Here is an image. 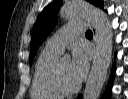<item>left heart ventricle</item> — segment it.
<instances>
[{"label":"left heart ventricle","mask_w":128,"mask_h":99,"mask_svg":"<svg viewBox=\"0 0 128 99\" xmlns=\"http://www.w3.org/2000/svg\"><path fill=\"white\" fill-rule=\"evenodd\" d=\"M60 70L62 81L67 87H73L78 84L71 73L70 60H62Z\"/></svg>","instance_id":"1"}]
</instances>
